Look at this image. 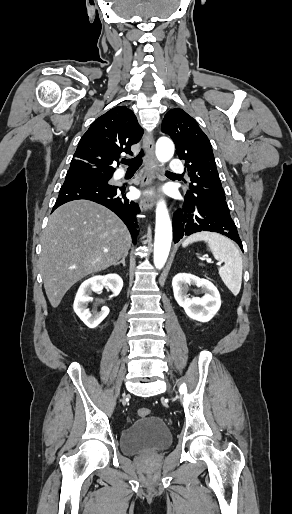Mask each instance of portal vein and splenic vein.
Returning <instances> with one entry per match:
<instances>
[{"mask_svg": "<svg viewBox=\"0 0 292 514\" xmlns=\"http://www.w3.org/2000/svg\"><path fill=\"white\" fill-rule=\"evenodd\" d=\"M104 252H108V250H104ZM208 262H211V260H208ZM222 262H218V264H216V266H221Z\"/></svg>", "mask_w": 292, "mask_h": 514, "instance_id": "portal-vein-and-splenic-vein-1", "label": "portal vein and splenic vein"}]
</instances>
